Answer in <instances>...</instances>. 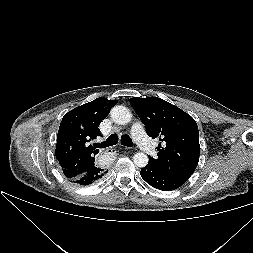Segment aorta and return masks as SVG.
I'll use <instances>...</instances> for the list:
<instances>
[{"instance_id":"obj_1","label":"aorta","mask_w":253,"mask_h":253,"mask_svg":"<svg viewBox=\"0 0 253 253\" xmlns=\"http://www.w3.org/2000/svg\"><path fill=\"white\" fill-rule=\"evenodd\" d=\"M110 114L113 121L119 125H126L132 120V114L125 106H114ZM133 162L136 166L143 168L148 164V156L143 152H138L133 156Z\"/></svg>"}]
</instances>
